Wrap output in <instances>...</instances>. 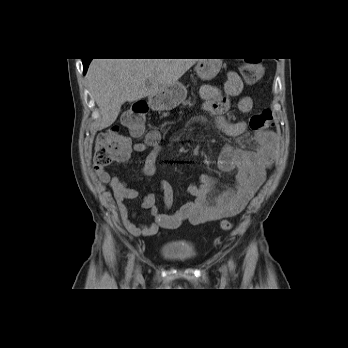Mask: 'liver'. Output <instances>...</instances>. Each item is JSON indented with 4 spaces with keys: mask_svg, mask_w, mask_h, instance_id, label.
<instances>
[{
    "mask_svg": "<svg viewBox=\"0 0 348 348\" xmlns=\"http://www.w3.org/2000/svg\"><path fill=\"white\" fill-rule=\"evenodd\" d=\"M197 61L199 59H93L86 77L100 110V129L115 122L125 102L137 101L174 85Z\"/></svg>",
    "mask_w": 348,
    "mask_h": 348,
    "instance_id": "obj_1",
    "label": "liver"
}]
</instances>
